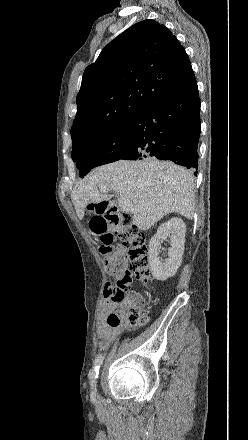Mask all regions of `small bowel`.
I'll return each mask as SVG.
<instances>
[{
  "instance_id": "c3829d8e",
  "label": "small bowel",
  "mask_w": 248,
  "mask_h": 440,
  "mask_svg": "<svg viewBox=\"0 0 248 440\" xmlns=\"http://www.w3.org/2000/svg\"><path fill=\"white\" fill-rule=\"evenodd\" d=\"M114 307H110L105 303L102 305L98 319H97V334L100 339L99 341V349L106 350L110 347L112 342L119 334V327H111L107 324L106 317L110 312H113ZM118 315H123V309H120L116 312Z\"/></svg>"
}]
</instances>
